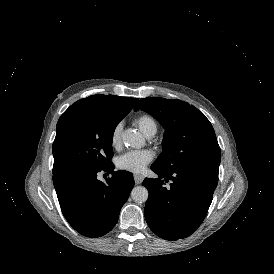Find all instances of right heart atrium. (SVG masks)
Masks as SVG:
<instances>
[{
	"label": "right heart atrium",
	"mask_w": 274,
	"mask_h": 274,
	"mask_svg": "<svg viewBox=\"0 0 274 274\" xmlns=\"http://www.w3.org/2000/svg\"><path fill=\"white\" fill-rule=\"evenodd\" d=\"M120 145V131L118 127L114 128L111 134V146L113 148H118Z\"/></svg>",
	"instance_id": "1"
}]
</instances>
